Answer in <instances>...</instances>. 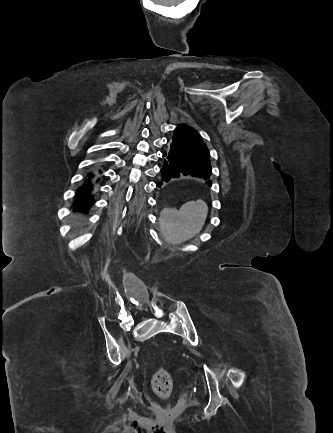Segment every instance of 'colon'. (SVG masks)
I'll use <instances>...</instances> for the list:
<instances>
[{"instance_id":"colon-1","label":"colon","mask_w":333,"mask_h":433,"mask_svg":"<svg viewBox=\"0 0 333 433\" xmlns=\"http://www.w3.org/2000/svg\"><path fill=\"white\" fill-rule=\"evenodd\" d=\"M152 387L155 394L162 400H166L171 392L173 387V380L171 373L165 367H160L154 373L152 377Z\"/></svg>"}]
</instances>
